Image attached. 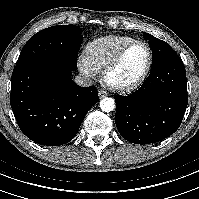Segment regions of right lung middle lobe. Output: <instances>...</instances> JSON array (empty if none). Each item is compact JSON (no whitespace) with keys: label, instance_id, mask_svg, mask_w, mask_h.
Masks as SVG:
<instances>
[{"label":"right lung middle lobe","instance_id":"right-lung-middle-lobe-1","mask_svg":"<svg viewBox=\"0 0 199 199\" xmlns=\"http://www.w3.org/2000/svg\"><path fill=\"white\" fill-rule=\"evenodd\" d=\"M81 32L76 25H57L36 33L23 47L13 73L43 63H57L75 70Z\"/></svg>","mask_w":199,"mask_h":199}]
</instances>
